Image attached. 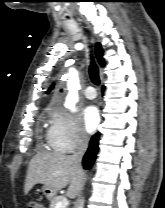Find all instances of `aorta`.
I'll list each match as a JSON object with an SVG mask.
<instances>
[{
    "instance_id": "obj_1",
    "label": "aorta",
    "mask_w": 165,
    "mask_h": 208,
    "mask_svg": "<svg viewBox=\"0 0 165 208\" xmlns=\"http://www.w3.org/2000/svg\"><path fill=\"white\" fill-rule=\"evenodd\" d=\"M68 89H69V94L67 96L66 106L73 110L75 103L78 101V90L80 89L78 73L75 70H71L70 72ZM83 205H84V201H81L78 208H83Z\"/></svg>"
}]
</instances>
